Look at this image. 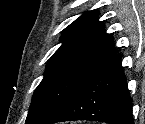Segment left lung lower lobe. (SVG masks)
<instances>
[{
    "label": "left lung lower lobe",
    "instance_id": "0a47b994",
    "mask_svg": "<svg viewBox=\"0 0 145 124\" xmlns=\"http://www.w3.org/2000/svg\"><path fill=\"white\" fill-rule=\"evenodd\" d=\"M71 120L134 124L121 54H115L43 124Z\"/></svg>",
    "mask_w": 145,
    "mask_h": 124
}]
</instances>
